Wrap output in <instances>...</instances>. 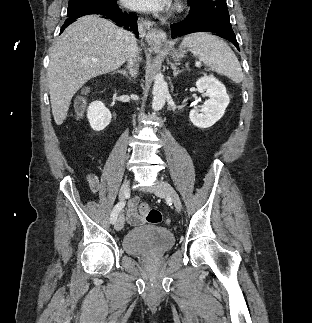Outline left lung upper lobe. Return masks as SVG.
I'll use <instances>...</instances> for the list:
<instances>
[{"label": "left lung upper lobe", "mask_w": 312, "mask_h": 323, "mask_svg": "<svg viewBox=\"0 0 312 323\" xmlns=\"http://www.w3.org/2000/svg\"><path fill=\"white\" fill-rule=\"evenodd\" d=\"M190 4V12L187 18H195L199 14L203 13V9H205L210 4L222 3L227 6L226 0H187ZM225 10H228L227 7Z\"/></svg>", "instance_id": "5c2ea615"}]
</instances>
